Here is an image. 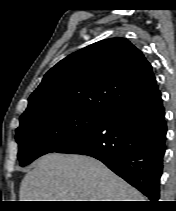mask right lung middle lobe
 <instances>
[{"instance_id":"right-lung-middle-lobe-1","label":"right lung middle lobe","mask_w":176,"mask_h":211,"mask_svg":"<svg viewBox=\"0 0 176 211\" xmlns=\"http://www.w3.org/2000/svg\"><path fill=\"white\" fill-rule=\"evenodd\" d=\"M106 116L75 109L48 108L20 118L15 136L20 165L25 166L72 143L98 126Z\"/></svg>"}]
</instances>
